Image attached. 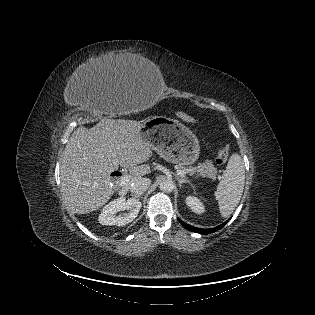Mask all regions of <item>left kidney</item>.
I'll list each match as a JSON object with an SVG mask.
<instances>
[{
	"label": "left kidney",
	"mask_w": 315,
	"mask_h": 315,
	"mask_svg": "<svg viewBox=\"0 0 315 315\" xmlns=\"http://www.w3.org/2000/svg\"><path fill=\"white\" fill-rule=\"evenodd\" d=\"M186 204L188 207L191 208V210L197 214H201L203 212H205V208L202 204V202L194 196H188L186 198Z\"/></svg>",
	"instance_id": "1"
}]
</instances>
